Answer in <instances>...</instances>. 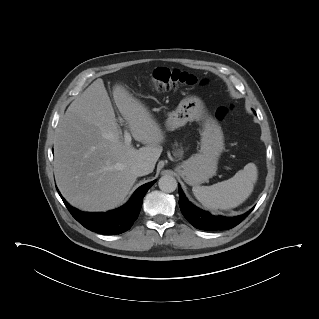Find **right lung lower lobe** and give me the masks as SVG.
Returning <instances> with one entry per match:
<instances>
[{
	"label": "right lung lower lobe",
	"mask_w": 319,
	"mask_h": 319,
	"mask_svg": "<svg viewBox=\"0 0 319 319\" xmlns=\"http://www.w3.org/2000/svg\"><path fill=\"white\" fill-rule=\"evenodd\" d=\"M155 181L139 187L131 199L121 208L107 213H88L79 211L70 206L61 196L64 204L72 216L85 228L101 234H120L131 228L137 219L142 206V199Z\"/></svg>",
	"instance_id": "right-lung-lower-lobe-1"
}]
</instances>
